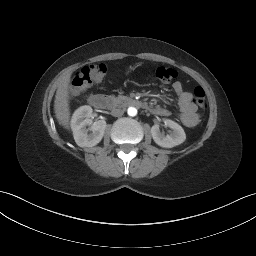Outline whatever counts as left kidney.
<instances>
[{"label": "left kidney", "instance_id": "left-kidney-1", "mask_svg": "<svg viewBox=\"0 0 256 256\" xmlns=\"http://www.w3.org/2000/svg\"><path fill=\"white\" fill-rule=\"evenodd\" d=\"M164 123L171 128L172 131L165 135L160 131L158 124L153 125L151 128V135L154 142L163 148H172L182 144L186 139V134L183 128L170 119H165Z\"/></svg>", "mask_w": 256, "mask_h": 256}]
</instances>
